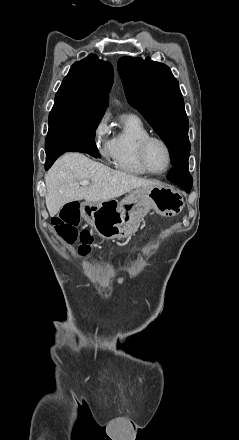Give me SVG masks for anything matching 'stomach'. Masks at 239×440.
I'll return each mask as SVG.
<instances>
[{
    "label": "stomach",
    "instance_id": "0dacf381",
    "mask_svg": "<svg viewBox=\"0 0 239 440\" xmlns=\"http://www.w3.org/2000/svg\"><path fill=\"white\" fill-rule=\"evenodd\" d=\"M184 206L183 196L179 192L156 186L131 190L121 202L115 198L106 202H83L80 214L101 238L123 240L137 232L142 218L150 210L172 218L181 214Z\"/></svg>",
    "mask_w": 239,
    "mask_h": 440
}]
</instances>
